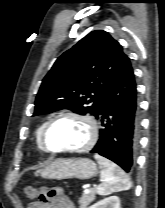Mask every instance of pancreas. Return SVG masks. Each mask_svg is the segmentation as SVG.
Returning a JSON list of instances; mask_svg holds the SVG:
<instances>
[{
	"label": "pancreas",
	"mask_w": 165,
	"mask_h": 208,
	"mask_svg": "<svg viewBox=\"0 0 165 208\" xmlns=\"http://www.w3.org/2000/svg\"><path fill=\"white\" fill-rule=\"evenodd\" d=\"M96 190L92 189L88 194H83L79 198L80 208H87V206L95 199Z\"/></svg>",
	"instance_id": "1"
}]
</instances>
